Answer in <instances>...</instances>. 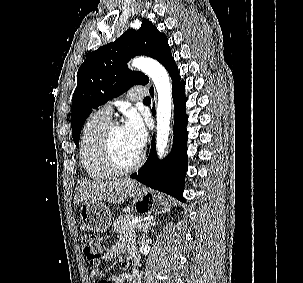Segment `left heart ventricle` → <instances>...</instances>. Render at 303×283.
I'll list each match as a JSON object with an SVG mask.
<instances>
[{"instance_id": "obj_1", "label": "left heart ventricle", "mask_w": 303, "mask_h": 283, "mask_svg": "<svg viewBox=\"0 0 303 283\" xmlns=\"http://www.w3.org/2000/svg\"><path fill=\"white\" fill-rule=\"evenodd\" d=\"M112 143L115 157L122 166L132 164L140 153L132 146L121 126L114 129Z\"/></svg>"}]
</instances>
